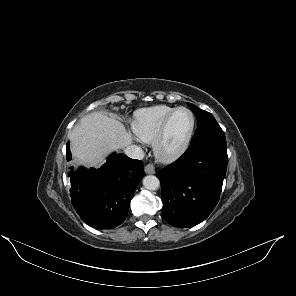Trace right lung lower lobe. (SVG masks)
I'll return each instance as SVG.
<instances>
[{
	"mask_svg": "<svg viewBox=\"0 0 296 296\" xmlns=\"http://www.w3.org/2000/svg\"><path fill=\"white\" fill-rule=\"evenodd\" d=\"M66 151L70 160L69 143ZM143 176L141 161L125 154H112L100 169L81 167L69 173L71 203L88 225L115 228L126 219L130 201Z\"/></svg>",
	"mask_w": 296,
	"mask_h": 296,
	"instance_id": "98d812e1",
	"label": "right lung lower lobe"
}]
</instances>
